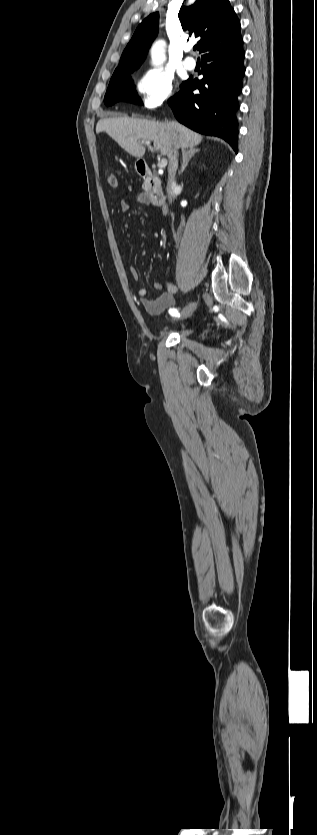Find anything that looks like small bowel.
Instances as JSON below:
<instances>
[{
    "label": "small bowel",
    "mask_w": 317,
    "mask_h": 835,
    "mask_svg": "<svg viewBox=\"0 0 317 835\" xmlns=\"http://www.w3.org/2000/svg\"><path fill=\"white\" fill-rule=\"evenodd\" d=\"M146 201L147 197L144 194H138L133 198L132 202L145 203ZM132 202L127 199L122 200L120 202V210L122 212L129 211L132 206ZM130 273L135 281L139 279V271L136 266L130 267ZM153 288L155 291H162L163 284L161 282H155L153 284ZM165 288L166 290L154 299L147 298V289L145 287H140L138 289L140 303L146 312L151 315H157L167 308L171 309L174 305V294L177 292V286L172 282H167Z\"/></svg>",
    "instance_id": "c3829d8e"
}]
</instances>
